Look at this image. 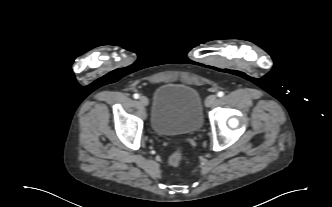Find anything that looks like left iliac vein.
I'll return each instance as SVG.
<instances>
[{
	"instance_id": "4c4485c4",
	"label": "left iliac vein",
	"mask_w": 332,
	"mask_h": 207,
	"mask_svg": "<svg viewBox=\"0 0 332 207\" xmlns=\"http://www.w3.org/2000/svg\"><path fill=\"white\" fill-rule=\"evenodd\" d=\"M218 98L216 95H210L207 97L206 101H205V105L207 107H212L216 104Z\"/></svg>"
}]
</instances>
